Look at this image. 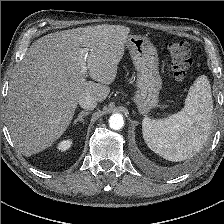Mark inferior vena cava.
<instances>
[{
	"label": "inferior vena cava",
	"instance_id": "1",
	"mask_svg": "<svg viewBox=\"0 0 224 224\" xmlns=\"http://www.w3.org/2000/svg\"><path fill=\"white\" fill-rule=\"evenodd\" d=\"M79 105L83 109H94L97 106V100L93 96H85L79 100Z\"/></svg>",
	"mask_w": 224,
	"mask_h": 224
}]
</instances>
